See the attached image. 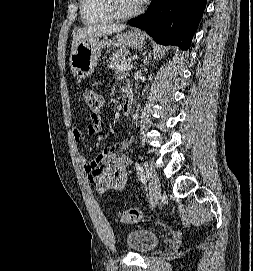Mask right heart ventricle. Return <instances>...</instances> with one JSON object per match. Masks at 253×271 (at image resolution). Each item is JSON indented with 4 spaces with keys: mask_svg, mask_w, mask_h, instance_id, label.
I'll list each match as a JSON object with an SVG mask.
<instances>
[{
    "mask_svg": "<svg viewBox=\"0 0 253 271\" xmlns=\"http://www.w3.org/2000/svg\"><path fill=\"white\" fill-rule=\"evenodd\" d=\"M80 15L87 25L107 24L114 21L113 15L109 12L105 0H79Z\"/></svg>",
    "mask_w": 253,
    "mask_h": 271,
    "instance_id": "right-heart-ventricle-1",
    "label": "right heart ventricle"
}]
</instances>
